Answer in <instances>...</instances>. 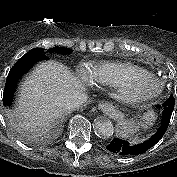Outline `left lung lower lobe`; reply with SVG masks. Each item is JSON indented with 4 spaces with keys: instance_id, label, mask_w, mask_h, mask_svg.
I'll use <instances>...</instances> for the list:
<instances>
[{
    "instance_id": "1",
    "label": "left lung lower lobe",
    "mask_w": 177,
    "mask_h": 177,
    "mask_svg": "<svg viewBox=\"0 0 177 177\" xmlns=\"http://www.w3.org/2000/svg\"><path fill=\"white\" fill-rule=\"evenodd\" d=\"M157 109L161 110V123L155 134L143 143L131 146L126 140L120 138H114L106 147L109 151L122 155L132 156L139 155L146 152L148 149L153 147L165 134L171 115L174 110V105L171 103L164 102L162 106L158 105Z\"/></svg>"
}]
</instances>
